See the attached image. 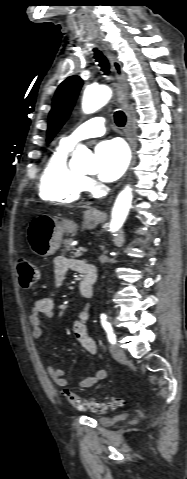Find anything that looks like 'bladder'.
I'll list each match as a JSON object with an SVG mask.
<instances>
[{"label":"bladder","instance_id":"bladder-1","mask_svg":"<svg viewBox=\"0 0 187 479\" xmlns=\"http://www.w3.org/2000/svg\"><path fill=\"white\" fill-rule=\"evenodd\" d=\"M97 421L103 426H110L115 423L114 418L99 417Z\"/></svg>","mask_w":187,"mask_h":479}]
</instances>
